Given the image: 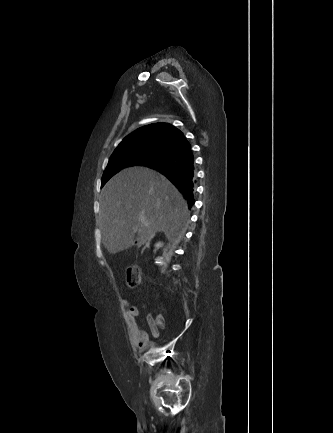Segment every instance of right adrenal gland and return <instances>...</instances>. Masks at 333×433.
<instances>
[{"instance_id": "right-adrenal-gland-1", "label": "right adrenal gland", "mask_w": 333, "mask_h": 433, "mask_svg": "<svg viewBox=\"0 0 333 433\" xmlns=\"http://www.w3.org/2000/svg\"><path fill=\"white\" fill-rule=\"evenodd\" d=\"M149 246H150V242H147L146 245H145V247L143 248V250H144L145 248H148Z\"/></svg>"}]
</instances>
